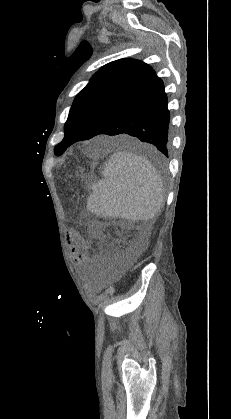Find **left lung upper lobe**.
Instances as JSON below:
<instances>
[{"mask_svg":"<svg viewBox=\"0 0 231 419\" xmlns=\"http://www.w3.org/2000/svg\"><path fill=\"white\" fill-rule=\"evenodd\" d=\"M152 72L148 64L128 58L103 66L76 96L64 126L65 136L55 147V154L61 155L73 143L85 140Z\"/></svg>","mask_w":231,"mask_h":419,"instance_id":"obj_1","label":"left lung upper lobe"}]
</instances>
